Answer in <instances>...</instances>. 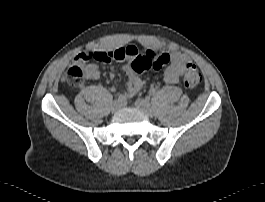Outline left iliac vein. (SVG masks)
I'll return each mask as SVG.
<instances>
[{
	"label": "left iliac vein",
	"instance_id": "left-iliac-vein-1",
	"mask_svg": "<svg viewBox=\"0 0 265 202\" xmlns=\"http://www.w3.org/2000/svg\"><path fill=\"white\" fill-rule=\"evenodd\" d=\"M137 109L142 111L146 116L151 117L153 115L152 106L147 99H138L135 102Z\"/></svg>",
	"mask_w": 265,
	"mask_h": 202
}]
</instances>
